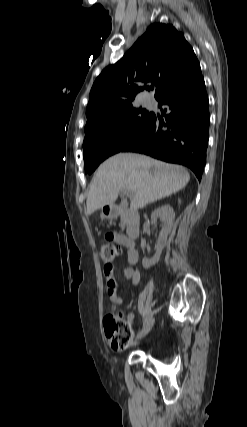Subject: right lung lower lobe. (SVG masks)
Returning <instances> with one entry per match:
<instances>
[{
  "instance_id": "98d812e1",
  "label": "right lung lower lobe",
  "mask_w": 247,
  "mask_h": 427,
  "mask_svg": "<svg viewBox=\"0 0 247 427\" xmlns=\"http://www.w3.org/2000/svg\"><path fill=\"white\" fill-rule=\"evenodd\" d=\"M162 115H155L145 132L122 152H138L189 167L201 180L206 163L210 115L201 69L171 88L158 100Z\"/></svg>"
}]
</instances>
